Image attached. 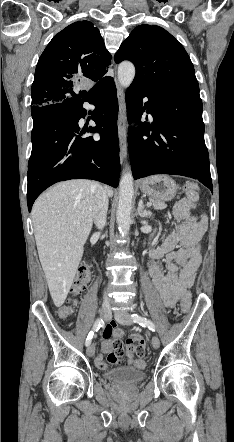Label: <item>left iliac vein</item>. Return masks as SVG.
Masks as SVG:
<instances>
[{"instance_id":"left-iliac-vein-1","label":"left iliac vein","mask_w":234,"mask_h":442,"mask_svg":"<svg viewBox=\"0 0 234 442\" xmlns=\"http://www.w3.org/2000/svg\"><path fill=\"white\" fill-rule=\"evenodd\" d=\"M115 319L122 325H131L132 324V318L129 316L128 313L124 311H117L115 313ZM151 344L153 348L158 349L160 346V340L156 335L152 336Z\"/></svg>"}]
</instances>
